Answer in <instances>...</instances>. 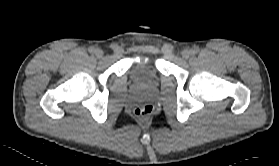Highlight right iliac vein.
Wrapping results in <instances>:
<instances>
[{
    "label": "right iliac vein",
    "mask_w": 279,
    "mask_h": 166,
    "mask_svg": "<svg viewBox=\"0 0 279 166\" xmlns=\"http://www.w3.org/2000/svg\"><path fill=\"white\" fill-rule=\"evenodd\" d=\"M95 55L98 57V58H100V57H102L103 56V51L102 50H100V49H95Z\"/></svg>",
    "instance_id": "right-iliac-vein-1"
}]
</instances>
